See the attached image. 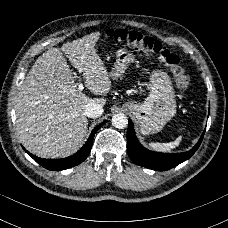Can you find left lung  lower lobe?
Masks as SVG:
<instances>
[{
	"mask_svg": "<svg viewBox=\"0 0 228 228\" xmlns=\"http://www.w3.org/2000/svg\"><path fill=\"white\" fill-rule=\"evenodd\" d=\"M204 133L205 130L202 133V136L197 142V144L187 152L176 154L153 152L144 148L139 143L134 132L133 123L129 119V125L127 130L128 155L134 163L140 166L156 171H166L189 159L199 148Z\"/></svg>",
	"mask_w": 228,
	"mask_h": 228,
	"instance_id": "0a47b994",
	"label": "left lung lower lobe"
}]
</instances>
